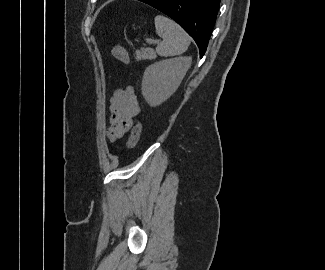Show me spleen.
Segmentation results:
<instances>
[{"mask_svg":"<svg viewBox=\"0 0 325 270\" xmlns=\"http://www.w3.org/2000/svg\"><path fill=\"white\" fill-rule=\"evenodd\" d=\"M154 21L156 33L163 39L156 47L159 56L180 55L187 50L190 37L176 22L163 15H157Z\"/></svg>","mask_w":325,"mask_h":270,"instance_id":"obj_1","label":"spleen"}]
</instances>
